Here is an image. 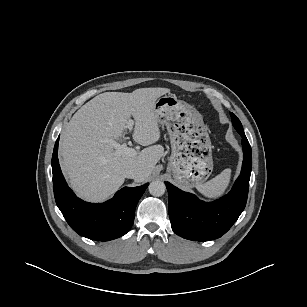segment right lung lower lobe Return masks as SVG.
Here are the masks:
<instances>
[{"mask_svg":"<svg viewBox=\"0 0 307 307\" xmlns=\"http://www.w3.org/2000/svg\"><path fill=\"white\" fill-rule=\"evenodd\" d=\"M58 142L52 156L53 189L56 204L70 227L79 235L109 241L126 234L133 225L136 205L148 184L124 187L112 199L92 204L79 199L68 187L58 160Z\"/></svg>","mask_w":307,"mask_h":307,"instance_id":"1","label":"right lung lower lobe"}]
</instances>
